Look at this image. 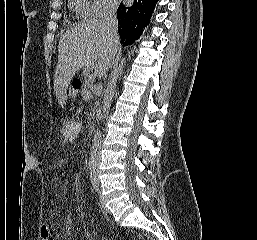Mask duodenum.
<instances>
[{"label": "duodenum", "mask_w": 257, "mask_h": 240, "mask_svg": "<svg viewBox=\"0 0 257 240\" xmlns=\"http://www.w3.org/2000/svg\"><path fill=\"white\" fill-rule=\"evenodd\" d=\"M99 116H100L99 114H96V116H95V117H96V118H99Z\"/></svg>", "instance_id": "1"}]
</instances>
